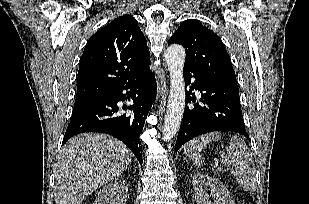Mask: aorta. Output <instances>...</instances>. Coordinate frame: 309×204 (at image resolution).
<instances>
[{"label":"aorta","instance_id":"1","mask_svg":"<svg viewBox=\"0 0 309 204\" xmlns=\"http://www.w3.org/2000/svg\"><path fill=\"white\" fill-rule=\"evenodd\" d=\"M165 60L170 73V93L163 127V140L167 142L178 132L185 109L184 48L170 45L165 52Z\"/></svg>","mask_w":309,"mask_h":204}]
</instances>
